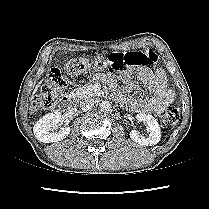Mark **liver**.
Returning a JSON list of instances; mask_svg holds the SVG:
<instances>
[{"label": "liver", "mask_w": 209, "mask_h": 209, "mask_svg": "<svg viewBox=\"0 0 209 209\" xmlns=\"http://www.w3.org/2000/svg\"><path fill=\"white\" fill-rule=\"evenodd\" d=\"M39 87H40V85H37V86H36L35 92H37V89H38ZM33 97H34V96H32V99H33Z\"/></svg>", "instance_id": "liver-1"}]
</instances>
